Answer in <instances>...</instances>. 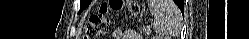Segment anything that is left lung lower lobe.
<instances>
[{"label":"left lung lower lobe","instance_id":"obj_1","mask_svg":"<svg viewBox=\"0 0 249 39\" xmlns=\"http://www.w3.org/2000/svg\"><path fill=\"white\" fill-rule=\"evenodd\" d=\"M178 2H180L179 5H178ZM175 3L178 5V7L181 9V11H183L184 1L183 0H175Z\"/></svg>","mask_w":249,"mask_h":39}]
</instances>
